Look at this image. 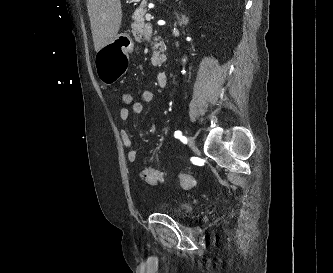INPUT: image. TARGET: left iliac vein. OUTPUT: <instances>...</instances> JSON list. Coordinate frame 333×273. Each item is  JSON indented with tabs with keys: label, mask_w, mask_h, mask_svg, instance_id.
Here are the masks:
<instances>
[{
	"label": "left iliac vein",
	"mask_w": 333,
	"mask_h": 273,
	"mask_svg": "<svg viewBox=\"0 0 333 273\" xmlns=\"http://www.w3.org/2000/svg\"><path fill=\"white\" fill-rule=\"evenodd\" d=\"M187 140H188V144H189V146L191 147V148H195V139L192 137V136H188V138H187Z\"/></svg>",
	"instance_id": "4c4485c4"
}]
</instances>
